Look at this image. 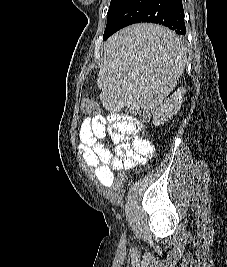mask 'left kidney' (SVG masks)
Instances as JSON below:
<instances>
[{"mask_svg":"<svg viewBox=\"0 0 227 267\" xmlns=\"http://www.w3.org/2000/svg\"><path fill=\"white\" fill-rule=\"evenodd\" d=\"M185 92V88H179L170 96V98L160 104L153 115V124L155 126L164 124L165 121L173 117V115L179 111L181 104L183 103V95Z\"/></svg>","mask_w":227,"mask_h":267,"instance_id":"5707ae66","label":"left kidney"}]
</instances>
